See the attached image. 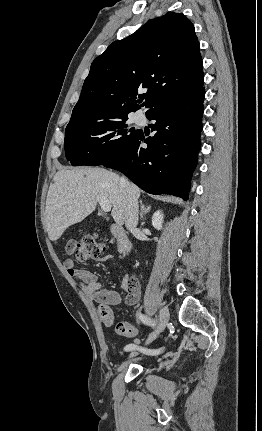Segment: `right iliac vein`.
<instances>
[{"label": "right iliac vein", "mask_w": 262, "mask_h": 431, "mask_svg": "<svg viewBox=\"0 0 262 431\" xmlns=\"http://www.w3.org/2000/svg\"><path fill=\"white\" fill-rule=\"evenodd\" d=\"M159 317V322L155 330L149 335L148 339L145 341V346H148L151 342H153L157 338V336L165 329L170 317L168 309L165 307L161 308ZM140 351H142L141 347L134 349L129 353L128 357L133 358L137 356Z\"/></svg>", "instance_id": "obj_1"}]
</instances>
